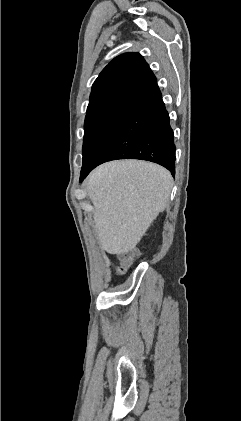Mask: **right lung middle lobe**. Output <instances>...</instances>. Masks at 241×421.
Listing matches in <instances>:
<instances>
[{
  "instance_id": "right-lung-middle-lobe-1",
  "label": "right lung middle lobe",
  "mask_w": 241,
  "mask_h": 421,
  "mask_svg": "<svg viewBox=\"0 0 241 421\" xmlns=\"http://www.w3.org/2000/svg\"><path fill=\"white\" fill-rule=\"evenodd\" d=\"M130 107L131 102L118 103L86 115L82 169H87L95 164L117 132Z\"/></svg>"
}]
</instances>
